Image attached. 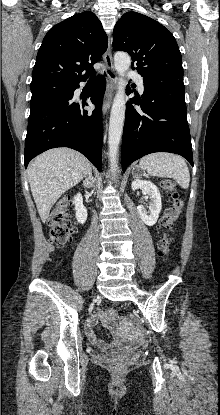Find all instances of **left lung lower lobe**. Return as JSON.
<instances>
[{
  "label": "left lung lower lobe",
  "instance_id": "left-lung-lower-lobe-1",
  "mask_svg": "<svg viewBox=\"0 0 220 415\" xmlns=\"http://www.w3.org/2000/svg\"><path fill=\"white\" fill-rule=\"evenodd\" d=\"M144 93L130 99L122 138V169L154 152L183 156L193 166L183 78L142 76ZM131 90L127 89V94ZM132 103L141 106L137 111Z\"/></svg>",
  "mask_w": 220,
  "mask_h": 415
}]
</instances>
